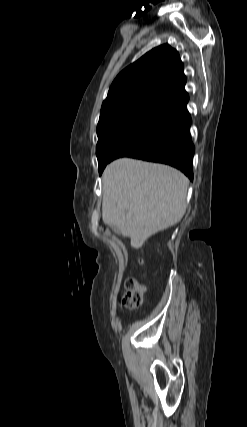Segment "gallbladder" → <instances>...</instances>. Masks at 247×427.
Returning a JSON list of instances; mask_svg holds the SVG:
<instances>
[{
  "label": "gallbladder",
  "mask_w": 247,
  "mask_h": 427,
  "mask_svg": "<svg viewBox=\"0 0 247 427\" xmlns=\"http://www.w3.org/2000/svg\"><path fill=\"white\" fill-rule=\"evenodd\" d=\"M114 231L118 232L117 228L114 225H109Z\"/></svg>",
  "instance_id": "obj_1"
}]
</instances>
